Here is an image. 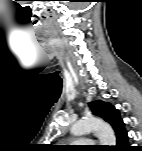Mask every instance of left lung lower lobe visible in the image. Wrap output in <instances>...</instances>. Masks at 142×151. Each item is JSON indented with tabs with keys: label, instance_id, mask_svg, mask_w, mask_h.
Instances as JSON below:
<instances>
[{
	"label": "left lung lower lobe",
	"instance_id": "0a47b994",
	"mask_svg": "<svg viewBox=\"0 0 142 151\" xmlns=\"http://www.w3.org/2000/svg\"><path fill=\"white\" fill-rule=\"evenodd\" d=\"M116 139H117V145L114 147L115 151H131V150H133L128 145V134H127L126 130H124L118 136H116Z\"/></svg>",
	"mask_w": 142,
	"mask_h": 151
}]
</instances>
